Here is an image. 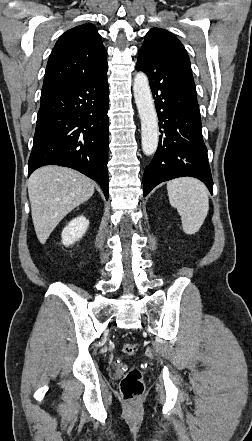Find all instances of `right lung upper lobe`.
Segmentation results:
<instances>
[{
  "label": "right lung upper lobe",
  "instance_id": "cb5924a9",
  "mask_svg": "<svg viewBox=\"0 0 252 441\" xmlns=\"http://www.w3.org/2000/svg\"><path fill=\"white\" fill-rule=\"evenodd\" d=\"M107 52L93 24L66 31L53 48L45 72L42 91L66 83L107 75Z\"/></svg>",
  "mask_w": 252,
  "mask_h": 441
}]
</instances>
